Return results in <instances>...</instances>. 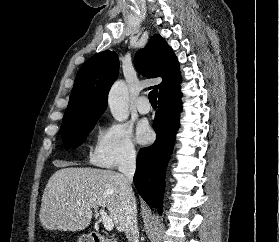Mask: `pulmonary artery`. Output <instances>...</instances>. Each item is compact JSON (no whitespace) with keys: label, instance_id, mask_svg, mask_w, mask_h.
Listing matches in <instances>:
<instances>
[{"label":"pulmonary artery","instance_id":"e3ab8cb5","mask_svg":"<svg viewBox=\"0 0 279 242\" xmlns=\"http://www.w3.org/2000/svg\"><path fill=\"white\" fill-rule=\"evenodd\" d=\"M136 107L138 112L141 114H147L151 110V106L145 96H141L138 98Z\"/></svg>","mask_w":279,"mask_h":242}]
</instances>
